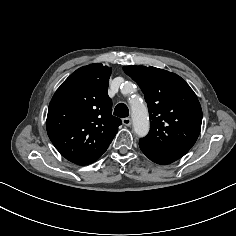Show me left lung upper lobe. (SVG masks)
<instances>
[{"instance_id": "obj_1", "label": "left lung upper lobe", "mask_w": 236, "mask_h": 236, "mask_svg": "<svg viewBox=\"0 0 236 236\" xmlns=\"http://www.w3.org/2000/svg\"><path fill=\"white\" fill-rule=\"evenodd\" d=\"M148 105L150 132L140 142L152 147L187 148L196 142L202 109L196 94L177 74L145 66H125Z\"/></svg>"}]
</instances>
